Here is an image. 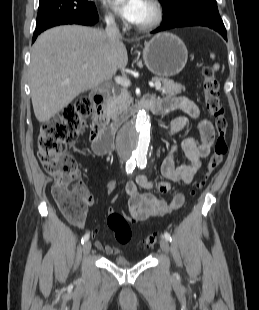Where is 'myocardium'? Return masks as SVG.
I'll list each match as a JSON object with an SVG mask.
<instances>
[{"label": "myocardium", "instance_id": "1", "mask_svg": "<svg viewBox=\"0 0 259 310\" xmlns=\"http://www.w3.org/2000/svg\"><path fill=\"white\" fill-rule=\"evenodd\" d=\"M154 10L153 19L143 25H134V27L142 32L152 31L159 27L164 20L165 11L160 0H146Z\"/></svg>", "mask_w": 259, "mask_h": 310}]
</instances>
